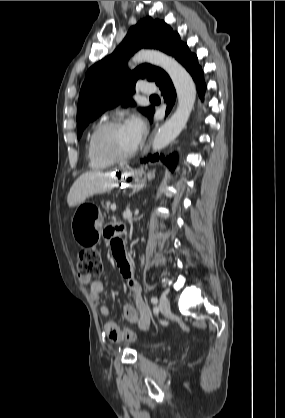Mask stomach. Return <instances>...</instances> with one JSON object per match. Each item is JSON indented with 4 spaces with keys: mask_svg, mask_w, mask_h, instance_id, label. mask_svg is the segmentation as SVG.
Here are the masks:
<instances>
[{
    "mask_svg": "<svg viewBox=\"0 0 285 418\" xmlns=\"http://www.w3.org/2000/svg\"><path fill=\"white\" fill-rule=\"evenodd\" d=\"M143 175L142 170H133L127 169L122 174H120L121 180L129 188L135 189L139 186V180ZM155 177L154 171H149L145 176L149 180ZM71 229L74 239L84 245V242L90 237H98L100 234V226L97 223V220H90L88 215L85 213L84 209L79 206L72 219H71Z\"/></svg>",
    "mask_w": 285,
    "mask_h": 418,
    "instance_id": "1",
    "label": "stomach"
}]
</instances>
